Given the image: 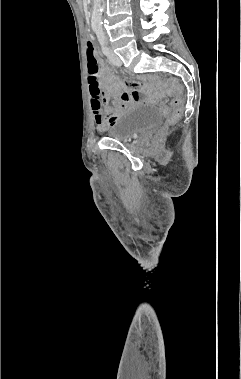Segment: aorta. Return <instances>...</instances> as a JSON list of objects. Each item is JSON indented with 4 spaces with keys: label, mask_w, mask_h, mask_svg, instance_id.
Here are the masks:
<instances>
[{
    "label": "aorta",
    "mask_w": 241,
    "mask_h": 379,
    "mask_svg": "<svg viewBox=\"0 0 241 379\" xmlns=\"http://www.w3.org/2000/svg\"><path fill=\"white\" fill-rule=\"evenodd\" d=\"M102 0H93V10L91 17V25L92 28L96 31H102V8H101Z\"/></svg>",
    "instance_id": "obj_1"
}]
</instances>
